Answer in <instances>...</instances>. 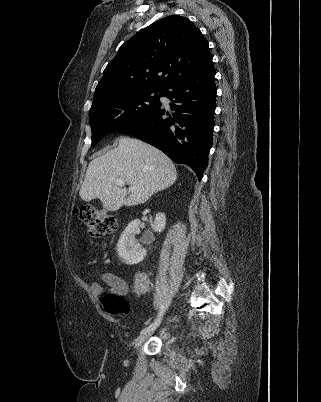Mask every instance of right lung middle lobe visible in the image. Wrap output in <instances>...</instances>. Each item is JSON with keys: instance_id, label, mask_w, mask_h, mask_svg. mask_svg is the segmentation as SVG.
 <instances>
[{"instance_id": "dd1d6c3e", "label": "right lung middle lobe", "mask_w": 321, "mask_h": 402, "mask_svg": "<svg viewBox=\"0 0 321 402\" xmlns=\"http://www.w3.org/2000/svg\"><path fill=\"white\" fill-rule=\"evenodd\" d=\"M164 89H147L114 96L92 105L89 122L92 129V144L107 133L140 120L161 106L159 97Z\"/></svg>"}]
</instances>
